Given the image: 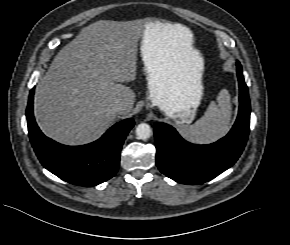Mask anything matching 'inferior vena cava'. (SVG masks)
Masks as SVG:
<instances>
[{
    "mask_svg": "<svg viewBox=\"0 0 290 245\" xmlns=\"http://www.w3.org/2000/svg\"><path fill=\"white\" fill-rule=\"evenodd\" d=\"M124 107H125V105L122 101H116L112 105L113 110L116 112H122L124 110Z\"/></svg>",
    "mask_w": 290,
    "mask_h": 245,
    "instance_id": "602c4592",
    "label": "inferior vena cava"
}]
</instances>
